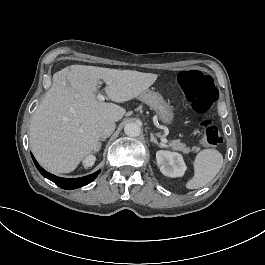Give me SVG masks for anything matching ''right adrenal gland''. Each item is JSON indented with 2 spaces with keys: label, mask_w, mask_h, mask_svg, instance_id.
Masks as SVG:
<instances>
[{
  "label": "right adrenal gland",
  "mask_w": 265,
  "mask_h": 265,
  "mask_svg": "<svg viewBox=\"0 0 265 265\" xmlns=\"http://www.w3.org/2000/svg\"><path fill=\"white\" fill-rule=\"evenodd\" d=\"M99 140L105 141V138L103 137V138H100ZM100 148H101V145H100V143H98V144H97V147H96L95 150L93 151V154H94V155H97V154L99 153V151H100Z\"/></svg>",
  "instance_id": "right-adrenal-gland-1"
}]
</instances>
